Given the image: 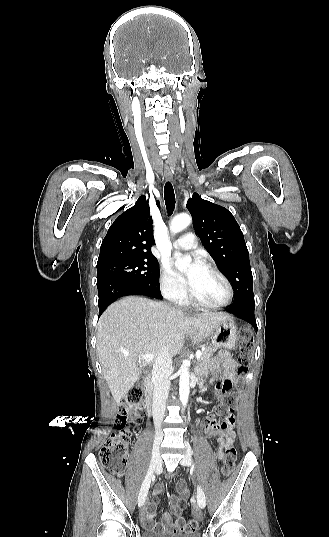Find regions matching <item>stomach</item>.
<instances>
[{
    "mask_svg": "<svg viewBox=\"0 0 329 537\" xmlns=\"http://www.w3.org/2000/svg\"><path fill=\"white\" fill-rule=\"evenodd\" d=\"M239 330L234 321L229 318L222 322L211 334L212 344L218 347L232 349L238 340Z\"/></svg>",
    "mask_w": 329,
    "mask_h": 537,
    "instance_id": "0dacf381",
    "label": "stomach"
}]
</instances>
